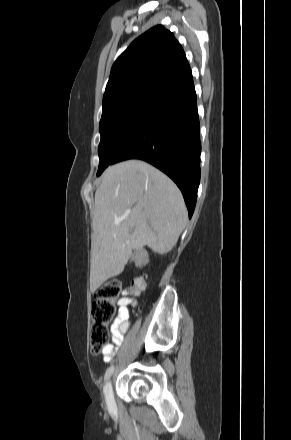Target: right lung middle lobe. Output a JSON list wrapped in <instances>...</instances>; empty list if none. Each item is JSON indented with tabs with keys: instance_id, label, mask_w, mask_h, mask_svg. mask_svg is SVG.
<instances>
[{
	"instance_id": "dd1d6c3e",
	"label": "right lung middle lobe",
	"mask_w": 291,
	"mask_h": 440,
	"mask_svg": "<svg viewBox=\"0 0 291 440\" xmlns=\"http://www.w3.org/2000/svg\"><path fill=\"white\" fill-rule=\"evenodd\" d=\"M154 99L153 96H138L103 106L97 176L111 164L114 155L138 126Z\"/></svg>"
}]
</instances>
